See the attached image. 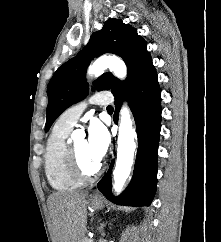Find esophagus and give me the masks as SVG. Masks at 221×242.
Returning <instances> with one entry per match:
<instances>
[{"instance_id": "esophagus-1", "label": "esophagus", "mask_w": 221, "mask_h": 242, "mask_svg": "<svg viewBox=\"0 0 221 242\" xmlns=\"http://www.w3.org/2000/svg\"><path fill=\"white\" fill-rule=\"evenodd\" d=\"M100 194L98 192H94L93 197H99Z\"/></svg>"}]
</instances>
